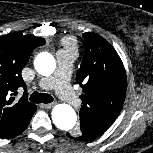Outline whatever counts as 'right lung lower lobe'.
<instances>
[{"label": "right lung lower lobe", "mask_w": 153, "mask_h": 153, "mask_svg": "<svg viewBox=\"0 0 153 153\" xmlns=\"http://www.w3.org/2000/svg\"><path fill=\"white\" fill-rule=\"evenodd\" d=\"M36 111V108L35 110L27 117L25 118L12 132H10L9 134L5 135V136H2L0 138H12V137H15L19 134H21L26 128L27 126L29 125L30 121H31V118H32V115L34 114V112Z\"/></svg>", "instance_id": "right-lung-lower-lobe-1"}]
</instances>
